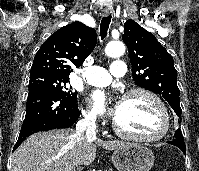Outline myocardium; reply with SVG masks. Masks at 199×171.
<instances>
[{
	"mask_svg": "<svg viewBox=\"0 0 199 171\" xmlns=\"http://www.w3.org/2000/svg\"><path fill=\"white\" fill-rule=\"evenodd\" d=\"M134 94L146 95L155 103L162 117V121H163L162 128L156 135H152V136L138 135V134L125 131L119 126L116 120H114L113 129L115 133L124 138L140 141V142H156V141L162 140L163 138L166 137V135L168 134L170 130V115L165 103L156 93L144 87H133V88L128 89L124 93L123 99L128 98Z\"/></svg>",
	"mask_w": 199,
	"mask_h": 171,
	"instance_id": "obj_1",
	"label": "myocardium"
}]
</instances>
